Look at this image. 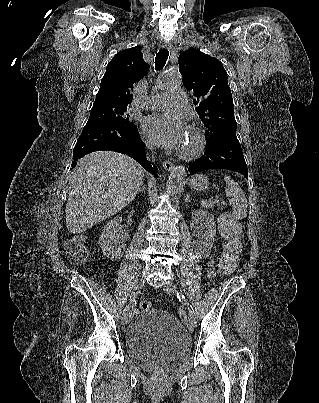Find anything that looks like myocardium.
<instances>
[{
	"label": "myocardium",
	"mask_w": 319,
	"mask_h": 403,
	"mask_svg": "<svg viewBox=\"0 0 319 403\" xmlns=\"http://www.w3.org/2000/svg\"><path fill=\"white\" fill-rule=\"evenodd\" d=\"M189 133L194 139V145L190 150H181L179 156L185 160H194L203 154L206 147V138L196 126H190Z\"/></svg>",
	"instance_id": "1"
}]
</instances>
